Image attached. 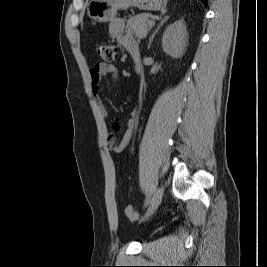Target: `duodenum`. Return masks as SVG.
<instances>
[{"mask_svg":"<svg viewBox=\"0 0 267 267\" xmlns=\"http://www.w3.org/2000/svg\"><path fill=\"white\" fill-rule=\"evenodd\" d=\"M135 69H136V71L140 70V65H139V61L138 60L135 61Z\"/></svg>","mask_w":267,"mask_h":267,"instance_id":"1","label":"duodenum"}]
</instances>
